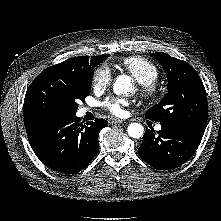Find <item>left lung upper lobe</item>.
I'll return each instance as SVG.
<instances>
[{"instance_id": "left-lung-upper-lobe-1", "label": "left lung upper lobe", "mask_w": 221, "mask_h": 221, "mask_svg": "<svg viewBox=\"0 0 221 221\" xmlns=\"http://www.w3.org/2000/svg\"><path fill=\"white\" fill-rule=\"evenodd\" d=\"M163 66L168 78V93L151 107L145 117L161 126L185 128L204 133L208 108L204 85L195 69L183 60L162 52L151 54Z\"/></svg>"}]
</instances>
